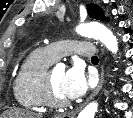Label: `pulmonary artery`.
<instances>
[{"label": "pulmonary artery", "mask_w": 133, "mask_h": 118, "mask_svg": "<svg viewBox=\"0 0 133 118\" xmlns=\"http://www.w3.org/2000/svg\"><path fill=\"white\" fill-rule=\"evenodd\" d=\"M43 50L53 61L72 53L86 58H92L96 53L95 46L83 40H63L46 45Z\"/></svg>", "instance_id": "e3ab8cb5"}]
</instances>
